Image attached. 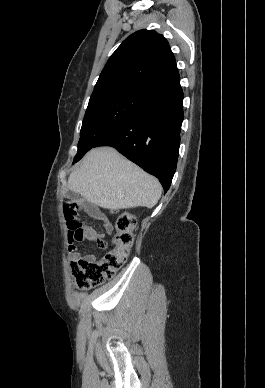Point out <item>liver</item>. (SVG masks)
<instances>
[{
	"instance_id": "1",
	"label": "liver",
	"mask_w": 265,
	"mask_h": 388,
	"mask_svg": "<svg viewBox=\"0 0 265 388\" xmlns=\"http://www.w3.org/2000/svg\"><path fill=\"white\" fill-rule=\"evenodd\" d=\"M68 190L107 208H153L162 194L157 178L123 158L114 148H94L68 178Z\"/></svg>"
}]
</instances>
